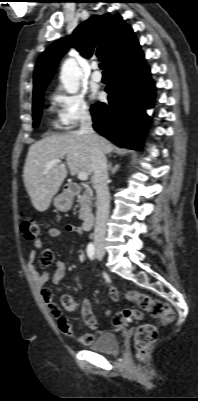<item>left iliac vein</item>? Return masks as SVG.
I'll use <instances>...</instances> for the list:
<instances>
[{"label":"left iliac vein","instance_id":"obj_1","mask_svg":"<svg viewBox=\"0 0 198 401\" xmlns=\"http://www.w3.org/2000/svg\"><path fill=\"white\" fill-rule=\"evenodd\" d=\"M96 257H97L98 260H101V256L98 253H97Z\"/></svg>","mask_w":198,"mask_h":401}]
</instances>
